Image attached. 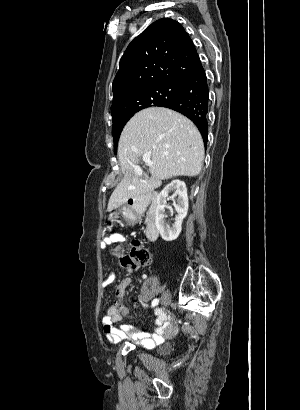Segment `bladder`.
Returning <instances> with one entry per match:
<instances>
[{"label":"bladder","instance_id":"obj_1","mask_svg":"<svg viewBox=\"0 0 300 410\" xmlns=\"http://www.w3.org/2000/svg\"><path fill=\"white\" fill-rule=\"evenodd\" d=\"M171 346L169 343H164L160 346L159 352L168 351L170 350Z\"/></svg>","mask_w":300,"mask_h":410}]
</instances>
